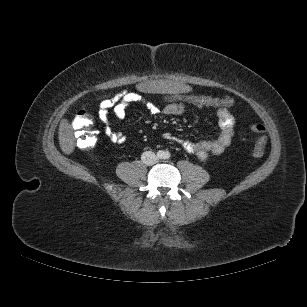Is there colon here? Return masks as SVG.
Masks as SVG:
<instances>
[{"instance_id":"obj_1","label":"colon","mask_w":307,"mask_h":307,"mask_svg":"<svg viewBox=\"0 0 307 307\" xmlns=\"http://www.w3.org/2000/svg\"><path fill=\"white\" fill-rule=\"evenodd\" d=\"M170 103H186L197 107L227 108L232 105L233 99L227 95L212 96L198 94H175L162 96L161 104L163 106ZM92 126L93 119L87 110L79 111L72 122V128L75 132L78 146L83 150H92L97 144V133ZM250 128L257 135L256 144L252 150V154L255 157H262L265 153L266 147V127L261 123L253 122L250 124Z\"/></svg>"}]
</instances>
